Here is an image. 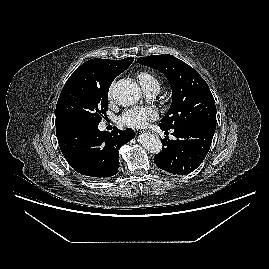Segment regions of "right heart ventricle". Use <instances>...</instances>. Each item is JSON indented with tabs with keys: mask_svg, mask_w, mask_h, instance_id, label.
Here are the masks:
<instances>
[{
	"mask_svg": "<svg viewBox=\"0 0 269 269\" xmlns=\"http://www.w3.org/2000/svg\"><path fill=\"white\" fill-rule=\"evenodd\" d=\"M138 78H139L142 86L150 84V83H158L159 84V81L156 79V77L148 71L140 72L138 74Z\"/></svg>",
	"mask_w": 269,
	"mask_h": 269,
	"instance_id": "1",
	"label": "right heart ventricle"
}]
</instances>
